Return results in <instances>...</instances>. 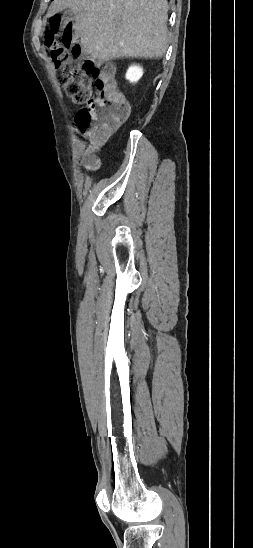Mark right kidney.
<instances>
[{"label": "right kidney", "mask_w": 253, "mask_h": 548, "mask_svg": "<svg viewBox=\"0 0 253 548\" xmlns=\"http://www.w3.org/2000/svg\"><path fill=\"white\" fill-rule=\"evenodd\" d=\"M143 75V69L137 65H131L126 72V79L131 83L137 82Z\"/></svg>", "instance_id": "obj_1"}]
</instances>
